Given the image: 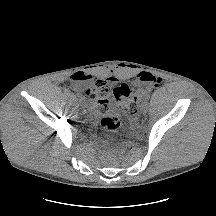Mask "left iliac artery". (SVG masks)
I'll return each mask as SVG.
<instances>
[{"mask_svg": "<svg viewBox=\"0 0 216 216\" xmlns=\"http://www.w3.org/2000/svg\"><path fill=\"white\" fill-rule=\"evenodd\" d=\"M149 102H150V99H149L148 97H147L146 99L143 100V103H144V104H147V103H149Z\"/></svg>", "mask_w": 216, "mask_h": 216, "instance_id": "left-iliac-artery-1", "label": "left iliac artery"}]
</instances>
